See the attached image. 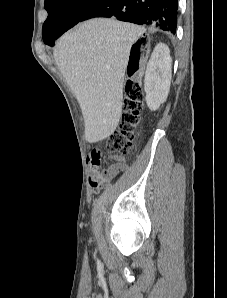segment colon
<instances>
[{
	"label": "colon",
	"mask_w": 227,
	"mask_h": 298,
	"mask_svg": "<svg viewBox=\"0 0 227 298\" xmlns=\"http://www.w3.org/2000/svg\"><path fill=\"white\" fill-rule=\"evenodd\" d=\"M148 45L145 38L137 41L134 50H140ZM139 66V56H131L128 72L132 76ZM144 91L141 83L131 77L124 86V101L121 124L107 139L106 146L109 152L116 154H127L134 148V142L139 138L138 126L140 123ZM94 186L97 183H93Z\"/></svg>",
	"instance_id": "colon-1"
}]
</instances>
